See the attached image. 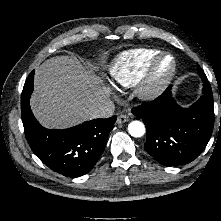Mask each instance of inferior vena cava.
Returning <instances> with one entry per match:
<instances>
[{
    "label": "inferior vena cava",
    "instance_id": "obj_1",
    "mask_svg": "<svg viewBox=\"0 0 221 221\" xmlns=\"http://www.w3.org/2000/svg\"><path fill=\"white\" fill-rule=\"evenodd\" d=\"M115 105L112 101L107 100L92 110L90 116L92 119L108 118L114 113Z\"/></svg>",
    "mask_w": 221,
    "mask_h": 221
}]
</instances>
